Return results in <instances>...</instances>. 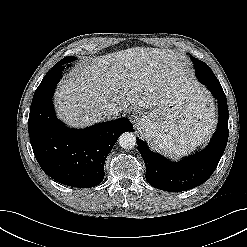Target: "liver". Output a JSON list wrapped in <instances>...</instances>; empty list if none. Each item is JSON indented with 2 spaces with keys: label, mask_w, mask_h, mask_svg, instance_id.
<instances>
[{
  "label": "liver",
  "mask_w": 247,
  "mask_h": 247,
  "mask_svg": "<svg viewBox=\"0 0 247 247\" xmlns=\"http://www.w3.org/2000/svg\"><path fill=\"white\" fill-rule=\"evenodd\" d=\"M178 59L171 50L144 47L95 57L59 83L57 113L67 124L83 128L103 120L102 108L108 103L119 112L130 104L152 108L184 76ZM209 111L214 115L213 108ZM207 124L212 126L214 120Z\"/></svg>",
  "instance_id": "6515ba94"
}]
</instances>
